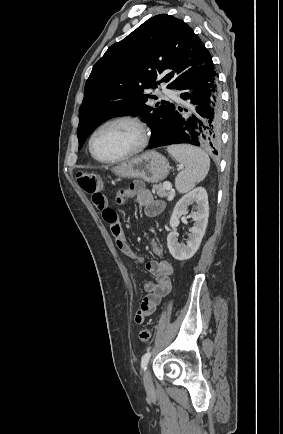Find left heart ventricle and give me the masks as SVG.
Returning a JSON list of instances; mask_svg holds the SVG:
<instances>
[{
    "instance_id": "1",
    "label": "left heart ventricle",
    "mask_w": 283,
    "mask_h": 434,
    "mask_svg": "<svg viewBox=\"0 0 283 434\" xmlns=\"http://www.w3.org/2000/svg\"><path fill=\"white\" fill-rule=\"evenodd\" d=\"M139 133L129 123H114L101 129L95 136L93 148L105 159L116 158L131 151L137 145Z\"/></svg>"
}]
</instances>
